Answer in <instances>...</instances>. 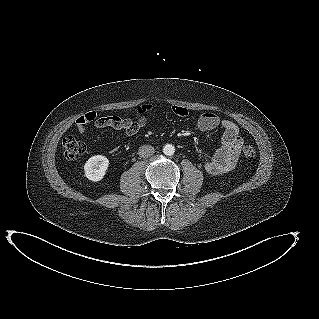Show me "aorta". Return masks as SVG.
<instances>
[{
	"instance_id": "obj_1",
	"label": "aorta",
	"mask_w": 319,
	"mask_h": 319,
	"mask_svg": "<svg viewBox=\"0 0 319 319\" xmlns=\"http://www.w3.org/2000/svg\"><path fill=\"white\" fill-rule=\"evenodd\" d=\"M163 153L167 156H172L175 153V147L172 144H166L163 147Z\"/></svg>"
}]
</instances>
